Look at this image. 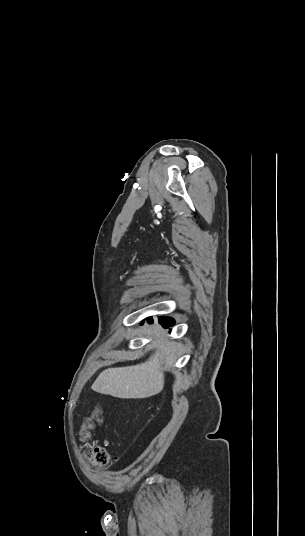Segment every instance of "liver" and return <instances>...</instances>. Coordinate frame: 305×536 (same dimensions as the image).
Listing matches in <instances>:
<instances>
[{
	"instance_id": "obj_1",
	"label": "liver",
	"mask_w": 305,
	"mask_h": 536,
	"mask_svg": "<svg viewBox=\"0 0 305 536\" xmlns=\"http://www.w3.org/2000/svg\"><path fill=\"white\" fill-rule=\"evenodd\" d=\"M153 346L158 350L149 358L148 362L139 364V366L104 370L92 384V390L99 392V394L114 396V398H150V396L162 392L164 388V374L162 372L164 360H168V364H174L176 352L173 342L171 344L155 342Z\"/></svg>"
}]
</instances>
